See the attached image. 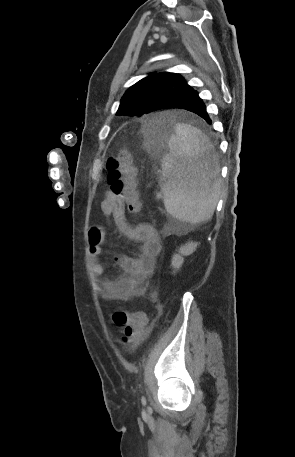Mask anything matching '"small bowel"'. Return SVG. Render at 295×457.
<instances>
[{"mask_svg": "<svg viewBox=\"0 0 295 457\" xmlns=\"http://www.w3.org/2000/svg\"><path fill=\"white\" fill-rule=\"evenodd\" d=\"M101 212L105 217H112L120 230L130 239L139 243L136 257L116 256L122 276L117 281L104 278L105 267L101 261L105 231L101 226L89 230V250L93 273L99 278V292L107 302H128L148 295L155 300V293H148L147 279L152 274L156 257L161 251V242L155 228L148 223L131 226L126 222L125 207L115 194L108 190L101 203Z\"/></svg>", "mask_w": 295, "mask_h": 457, "instance_id": "small-bowel-1", "label": "small bowel"}]
</instances>
